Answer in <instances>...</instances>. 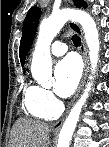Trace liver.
<instances>
[{"label":"liver","instance_id":"liver-1","mask_svg":"<svg viewBox=\"0 0 109 147\" xmlns=\"http://www.w3.org/2000/svg\"><path fill=\"white\" fill-rule=\"evenodd\" d=\"M50 127L28 118H19L13 125L9 147H47Z\"/></svg>","mask_w":109,"mask_h":147}]
</instances>
